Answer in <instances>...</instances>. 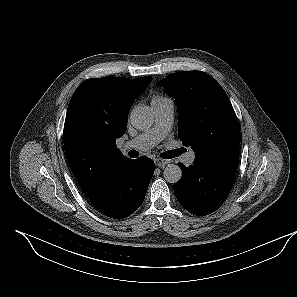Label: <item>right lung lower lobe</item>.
I'll use <instances>...</instances> for the list:
<instances>
[{
  "instance_id": "1",
  "label": "right lung lower lobe",
  "mask_w": 297,
  "mask_h": 297,
  "mask_svg": "<svg viewBox=\"0 0 297 297\" xmlns=\"http://www.w3.org/2000/svg\"><path fill=\"white\" fill-rule=\"evenodd\" d=\"M154 170L155 164L148 157L124 160L91 203L110 218L122 219L131 215L142 204Z\"/></svg>"
}]
</instances>
